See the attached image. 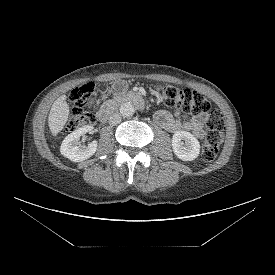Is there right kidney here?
<instances>
[{"label": "right kidney", "instance_id": "right-kidney-1", "mask_svg": "<svg viewBox=\"0 0 275 275\" xmlns=\"http://www.w3.org/2000/svg\"><path fill=\"white\" fill-rule=\"evenodd\" d=\"M92 130L93 126L86 125L67 135L61 144V154L74 162H81L90 158L97 150V142L93 141L85 146L80 144L79 139Z\"/></svg>", "mask_w": 275, "mask_h": 275}]
</instances>
